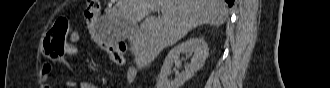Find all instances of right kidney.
<instances>
[{
	"instance_id": "1",
	"label": "right kidney",
	"mask_w": 330,
	"mask_h": 88,
	"mask_svg": "<svg viewBox=\"0 0 330 88\" xmlns=\"http://www.w3.org/2000/svg\"><path fill=\"white\" fill-rule=\"evenodd\" d=\"M185 52L190 55L193 54L191 62L185 67L184 71L175 74L174 80H170L169 76L173 63L180 68V54ZM208 52L207 44L202 38L198 37L190 38L172 48L163 63L157 78L156 88H180L204 65Z\"/></svg>"
}]
</instances>
